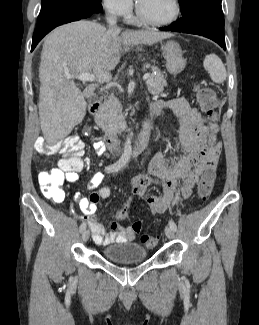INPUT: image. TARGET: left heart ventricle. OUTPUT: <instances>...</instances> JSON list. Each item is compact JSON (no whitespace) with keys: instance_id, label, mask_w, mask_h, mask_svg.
I'll return each mask as SVG.
<instances>
[{"instance_id":"1","label":"left heart ventricle","mask_w":259,"mask_h":325,"mask_svg":"<svg viewBox=\"0 0 259 325\" xmlns=\"http://www.w3.org/2000/svg\"><path fill=\"white\" fill-rule=\"evenodd\" d=\"M140 5L147 17L156 20L167 18L173 10L171 0H142Z\"/></svg>"}]
</instances>
